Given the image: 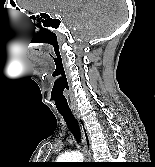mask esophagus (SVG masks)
<instances>
[{
    "instance_id": "1",
    "label": "esophagus",
    "mask_w": 155,
    "mask_h": 167,
    "mask_svg": "<svg viewBox=\"0 0 155 167\" xmlns=\"http://www.w3.org/2000/svg\"><path fill=\"white\" fill-rule=\"evenodd\" d=\"M73 114L76 117L78 124L80 126V129H81V132H82L87 160L91 162L93 159V156H92V144H91V138H90L89 131L85 125V122L81 114L78 111H74Z\"/></svg>"
}]
</instances>
